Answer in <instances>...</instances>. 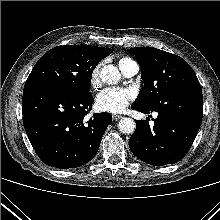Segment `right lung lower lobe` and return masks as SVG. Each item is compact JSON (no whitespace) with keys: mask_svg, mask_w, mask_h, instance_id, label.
I'll list each match as a JSON object with an SVG mask.
<instances>
[{"mask_svg":"<svg viewBox=\"0 0 220 220\" xmlns=\"http://www.w3.org/2000/svg\"><path fill=\"white\" fill-rule=\"evenodd\" d=\"M93 101L91 93L76 94L46 86L24 88L23 124L42 162L68 169L94 158L112 116L94 114L86 121Z\"/></svg>","mask_w":220,"mask_h":220,"instance_id":"98d812e1","label":"right lung lower lobe"}]
</instances>
